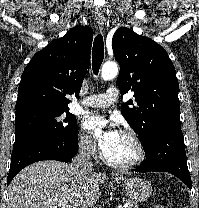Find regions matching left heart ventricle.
<instances>
[{"label": "left heart ventricle", "instance_id": "b2bd125f", "mask_svg": "<svg viewBox=\"0 0 199 208\" xmlns=\"http://www.w3.org/2000/svg\"><path fill=\"white\" fill-rule=\"evenodd\" d=\"M105 154L111 160L118 162H129L136 158L137 148L128 137L120 134L118 139Z\"/></svg>", "mask_w": 199, "mask_h": 208}]
</instances>
